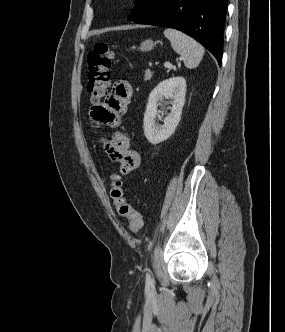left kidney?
Here are the masks:
<instances>
[{
    "label": "left kidney",
    "mask_w": 285,
    "mask_h": 332,
    "mask_svg": "<svg viewBox=\"0 0 285 332\" xmlns=\"http://www.w3.org/2000/svg\"><path fill=\"white\" fill-rule=\"evenodd\" d=\"M185 94L186 80L183 77L163 80L150 93L144 114V134L151 144H159L174 133L181 118ZM163 99L171 100V113L164 119L163 126L158 127L155 118L159 101Z\"/></svg>",
    "instance_id": "5707ae66"
}]
</instances>
